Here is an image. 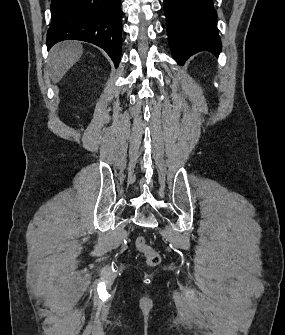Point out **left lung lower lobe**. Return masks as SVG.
Returning <instances> with one entry per match:
<instances>
[{"mask_svg":"<svg viewBox=\"0 0 285 335\" xmlns=\"http://www.w3.org/2000/svg\"><path fill=\"white\" fill-rule=\"evenodd\" d=\"M163 7L171 52L180 65L200 51L219 55L221 40L213 0H164Z\"/></svg>","mask_w":285,"mask_h":335,"instance_id":"1","label":"left lung lower lobe"}]
</instances>
